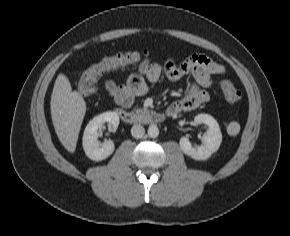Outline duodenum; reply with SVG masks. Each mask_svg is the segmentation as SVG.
<instances>
[{
    "label": "duodenum",
    "instance_id": "410a0bca",
    "mask_svg": "<svg viewBox=\"0 0 290 236\" xmlns=\"http://www.w3.org/2000/svg\"><path fill=\"white\" fill-rule=\"evenodd\" d=\"M116 112L128 124H159L165 120V116L162 113L153 111L134 112L118 109Z\"/></svg>",
    "mask_w": 290,
    "mask_h": 236
}]
</instances>
